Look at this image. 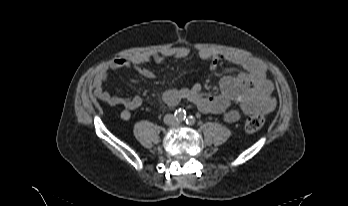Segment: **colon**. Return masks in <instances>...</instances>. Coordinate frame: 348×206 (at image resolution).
<instances>
[{
    "instance_id": "1",
    "label": "colon",
    "mask_w": 348,
    "mask_h": 206,
    "mask_svg": "<svg viewBox=\"0 0 348 206\" xmlns=\"http://www.w3.org/2000/svg\"><path fill=\"white\" fill-rule=\"evenodd\" d=\"M265 118L261 114H253L246 118L245 128L249 132H255L261 129L264 125Z\"/></svg>"
}]
</instances>
